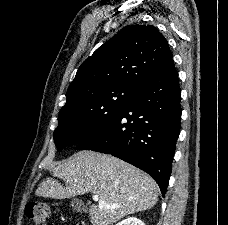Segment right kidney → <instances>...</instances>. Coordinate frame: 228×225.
<instances>
[{
  "label": "right kidney",
  "mask_w": 228,
  "mask_h": 225,
  "mask_svg": "<svg viewBox=\"0 0 228 225\" xmlns=\"http://www.w3.org/2000/svg\"><path fill=\"white\" fill-rule=\"evenodd\" d=\"M117 225H145L143 221L137 219V217H128V219H124V221H120Z\"/></svg>",
  "instance_id": "ca27d5eb"
}]
</instances>
